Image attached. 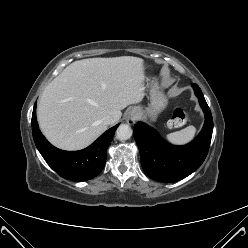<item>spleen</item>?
<instances>
[{"label":"spleen","mask_w":248,"mask_h":248,"mask_svg":"<svg viewBox=\"0 0 248 248\" xmlns=\"http://www.w3.org/2000/svg\"><path fill=\"white\" fill-rule=\"evenodd\" d=\"M196 134L194 126H188L180 131L170 133L166 136L167 140L176 145H183L190 142Z\"/></svg>","instance_id":"spleen-1"}]
</instances>
